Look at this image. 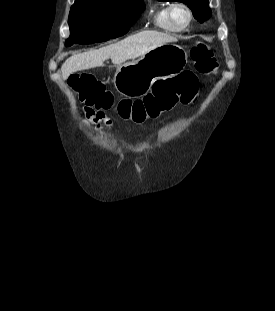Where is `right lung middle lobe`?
I'll list each match as a JSON object with an SVG mask.
<instances>
[{"label":"right lung middle lobe","mask_w":275,"mask_h":311,"mask_svg":"<svg viewBox=\"0 0 275 311\" xmlns=\"http://www.w3.org/2000/svg\"><path fill=\"white\" fill-rule=\"evenodd\" d=\"M144 0L75 2L69 14L66 45L101 42L123 35L144 10Z\"/></svg>","instance_id":"1"}]
</instances>
